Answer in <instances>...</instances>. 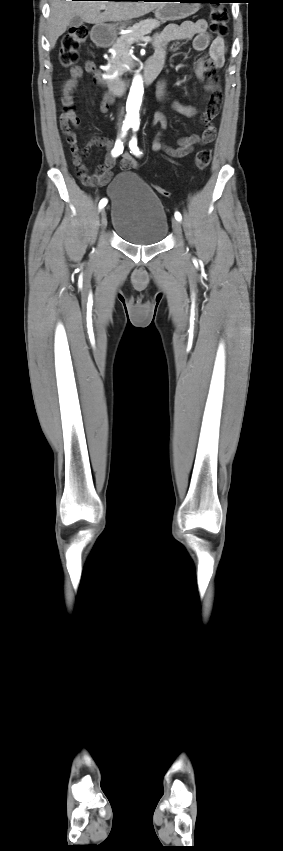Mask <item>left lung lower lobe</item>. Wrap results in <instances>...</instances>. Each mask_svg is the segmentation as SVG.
Segmentation results:
<instances>
[{
    "label": "left lung lower lobe",
    "instance_id": "0a47b994",
    "mask_svg": "<svg viewBox=\"0 0 283 851\" xmlns=\"http://www.w3.org/2000/svg\"><path fill=\"white\" fill-rule=\"evenodd\" d=\"M199 2H211V3H224L229 1H221V0H198Z\"/></svg>",
    "mask_w": 283,
    "mask_h": 851
}]
</instances>
